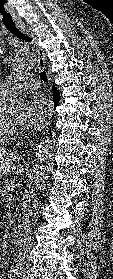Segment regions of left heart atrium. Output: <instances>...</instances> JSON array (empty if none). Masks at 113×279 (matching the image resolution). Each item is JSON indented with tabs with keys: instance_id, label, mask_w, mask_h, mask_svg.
Returning <instances> with one entry per match:
<instances>
[{
	"instance_id": "obj_1",
	"label": "left heart atrium",
	"mask_w": 113,
	"mask_h": 279,
	"mask_svg": "<svg viewBox=\"0 0 113 279\" xmlns=\"http://www.w3.org/2000/svg\"><path fill=\"white\" fill-rule=\"evenodd\" d=\"M50 115V101L45 97L34 96L25 107L22 125L27 130H40L48 123Z\"/></svg>"
}]
</instances>
